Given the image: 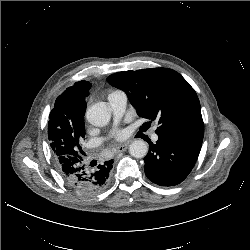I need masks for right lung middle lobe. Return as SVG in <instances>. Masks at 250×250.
Segmentation results:
<instances>
[{
    "mask_svg": "<svg viewBox=\"0 0 250 250\" xmlns=\"http://www.w3.org/2000/svg\"><path fill=\"white\" fill-rule=\"evenodd\" d=\"M57 123L48 122V138L55 160L61 156L81 158V142L85 137L84 122L75 129L56 127Z\"/></svg>",
    "mask_w": 250,
    "mask_h": 250,
    "instance_id": "1",
    "label": "right lung middle lobe"
}]
</instances>
